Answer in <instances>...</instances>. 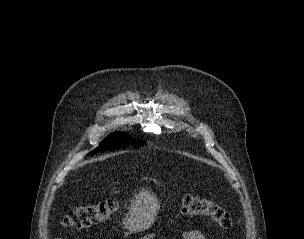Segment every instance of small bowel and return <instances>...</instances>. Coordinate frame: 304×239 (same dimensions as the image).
<instances>
[{
  "label": "small bowel",
  "instance_id": "obj_1",
  "mask_svg": "<svg viewBox=\"0 0 304 239\" xmlns=\"http://www.w3.org/2000/svg\"><path fill=\"white\" fill-rule=\"evenodd\" d=\"M150 235L145 236L141 239H148ZM55 239H63V238H55ZM182 239H208V237L198 229H186L182 233Z\"/></svg>",
  "mask_w": 304,
  "mask_h": 239
}]
</instances>
